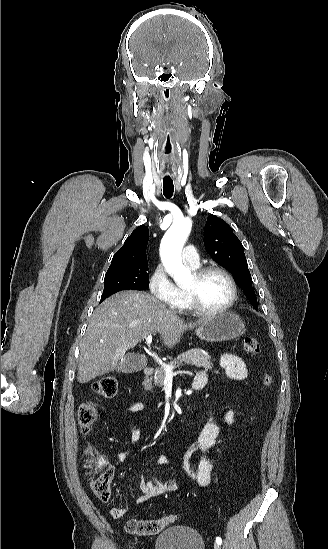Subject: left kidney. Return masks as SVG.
I'll use <instances>...</instances> for the list:
<instances>
[{"mask_svg": "<svg viewBox=\"0 0 328 549\" xmlns=\"http://www.w3.org/2000/svg\"><path fill=\"white\" fill-rule=\"evenodd\" d=\"M232 419H233V413L232 411H229V413H227L226 421H229V423H232Z\"/></svg>", "mask_w": 328, "mask_h": 549, "instance_id": "obj_1", "label": "left kidney"}]
</instances>
